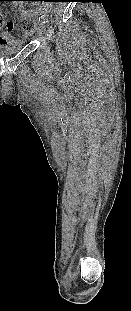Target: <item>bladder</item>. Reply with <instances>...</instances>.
Wrapping results in <instances>:
<instances>
[{
    "instance_id": "1",
    "label": "bladder",
    "mask_w": 131,
    "mask_h": 311,
    "mask_svg": "<svg viewBox=\"0 0 131 311\" xmlns=\"http://www.w3.org/2000/svg\"><path fill=\"white\" fill-rule=\"evenodd\" d=\"M26 46V42L18 39H11L7 42H0V57H8L19 52Z\"/></svg>"
}]
</instances>
